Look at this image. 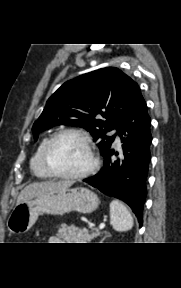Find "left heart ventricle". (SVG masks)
I'll return each instance as SVG.
<instances>
[{
  "mask_svg": "<svg viewBox=\"0 0 181 288\" xmlns=\"http://www.w3.org/2000/svg\"><path fill=\"white\" fill-rule=\"evenodd\" d=\"M51 162L60 172L74 174L84 170L90 163L88 149L75 135L58 139L51 150Z\"/></svg>",
  "mask_w": 181,
  "mask_h": 288,
  "instance_id": "left-heart-ventricle-1",
  "label": "left heart ventricle"
}]
</instances>
